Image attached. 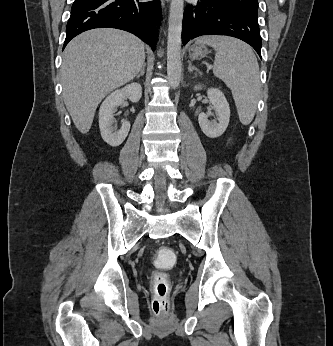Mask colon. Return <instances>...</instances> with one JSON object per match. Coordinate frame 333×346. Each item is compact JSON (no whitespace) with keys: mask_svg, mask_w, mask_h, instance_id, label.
Segmentation results:
<instances>
[{"mask_svg":"<svg viewBox=\"0 0 333 346\" xmlns=\"http://www.w3.org/2000/svg\"><path fill=\"white\" fill-rule=\"evenodd\" d=\"M175 249L160 248L157 257H154L153 271H173L175 268ZM172 282L163 273L154 276L153 309L156 315H163L168 311V296Z\"/></svg>","mask_w":333,"mask_h":346,"instance_id":"colon-1","label":"colon"}]
</instances>
